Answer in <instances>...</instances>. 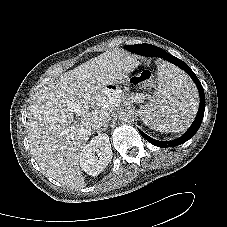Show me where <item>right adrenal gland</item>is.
Returning a JSON list of instances; mask_svg holds the SVG:
<instances>
[{"label": "right adrenal gland", "mask_w": 227, "mask_h": 227, "mask_svg": "<svg viewBox=\"0 0 227 227\" xmlns=\"http://www.w3.org/2000/svg\"><path fill=\"white\" fill-rule=\"evenodd\" d=\"M107 127H108V125H106V126L104 127V131H106Z\"/></svg>", "instance_id": "right-adrenal-gland-1"}]
</instances>
